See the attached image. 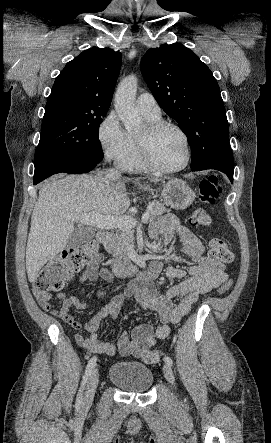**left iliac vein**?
<instances>
[{"mask_svg":"<svg viewBox=\"0 0 271 443\" xmlns=\"http://www.w3.org/2000/svg\"><path fill=\"white\" fill-rule=\"evenodd\" d=\"M163 373L164 376L166 378V380L173 386L175 387V377L173 375L172 369L168 364H165L163 366Z\"/></svg>","mask_w":271,"mask_h":443,"instance_id":"left-iliac-vein-1","label":"left iliac vein"}]
</instances>
